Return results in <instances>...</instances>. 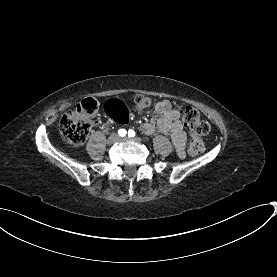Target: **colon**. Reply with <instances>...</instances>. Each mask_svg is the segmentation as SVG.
<instances>
[{"mask_svg":"<svg viewBox=\"0 0 277 277\" xmlns=\"http://www.w3.org/2000/svg\"><path fill=\"white\" fill-rule=\"evenodd\" d=\"M138 109L149 107L151 98L146 95H137L131 97ZM96 97L93 94L88 95L80 103V107L75 110L67 111L60 120V131L63 137L70 144L82 143L90 130L92 120L97 112ZM184 125L188 128L191 135L188 150L191 155H198L205 150V143L202 137L210 131V126L206 120L201 118L197 109L187 106L180 108ZM109 115V114H107Z\"/></svg>","mask_w":277,"mask_h":277,"instance_id":"obj_1","label":"colon"}]
</instances>
